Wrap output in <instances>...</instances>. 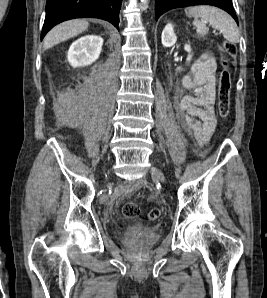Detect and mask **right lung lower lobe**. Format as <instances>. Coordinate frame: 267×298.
I'll list each match as a JSON object with an SVG mask.
<instances>
[{
  "label": "right lung lower lobe",
  "mask_w": 267,
  "mask_h": 298,
  "mask_svg": "<svg viewBox=\"0 0 267 298\" xmlns=\"http://www.w3.org/2000/svg\"><path fill=\"white\" fill-rule=\"evenodd\" d=\"M121 3L122 0H47L41 40L52 27L73 18L104 19L119 29Z\"/></svg>",
  "instance_id": "right-lung-lower-lobe-1"
}]
</instances>
